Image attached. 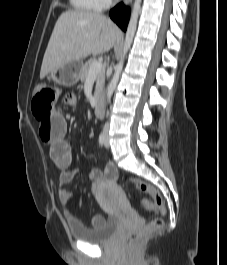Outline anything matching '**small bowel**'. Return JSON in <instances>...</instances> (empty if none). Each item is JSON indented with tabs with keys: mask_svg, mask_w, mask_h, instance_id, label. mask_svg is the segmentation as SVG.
Listing matches in <instances>:
<instances>
[{
	"mask_svg": "<svg viewBox=\"0 0 227 265\" xmlns=\"http://www.w3.org/2000/svg\"><path fill=\"white\" fill-rule=\"evenodd\" d=\"M75 97H68V103L73 104ZM67 122L60 112H55L51 116H46V120H41L39 135L41 140L49 146V156L51 160L61 169L59 176L58 197L61 203L65 205L71 204L75 197L68 191L66 185L69 184L77 174L72 168V149L66 140ZM88 177L93 181L92 192L98 193L101 186L110 180L115 179L116 169L112 165H107L103 170L99 168L91 169ZM84 202L83 197L77 199L78 204ZM65 216L69 222L77 223L76 218L66 212ZM103 218L96 215L92 218V225L97 226L103 222Z\"/></svg>",
	"mask_w": 227,
	"mask_h": 265,
	"instance_id": "c3829d8e",
	"label": "small bowel"
}]
</instances>
